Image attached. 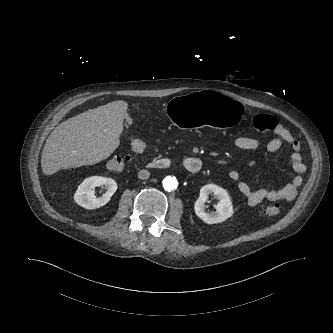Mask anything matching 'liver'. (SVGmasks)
<instances>
[{"label":"liver","instance_id":"obj_1","mask_svg":"<svg viewBox=\"0 0 333 333\" xmlns=\"http://www.w3.org/2000/svg\"><path fill=\"white\" fill-rule=\"evenodd\" d=\"M127 108V102L113 101L60 123L43 147V173L52 175L108 158L120 144Z\"/></svg>","mask_w":333,"mask_h":333}]
</instances>
